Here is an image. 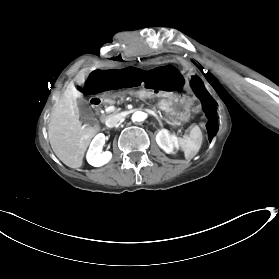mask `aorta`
<instances>
[{
	"label": "aorta",
	"mask_w": 279,
	"mask_h": 279,
	"mask_svg": "<svg viewBox=\"0 0 279 279\" xmlns=\"http://www.w3.org/2000/svg\"><path fill=\"white\" fill-rule=\"evenodd\" d=\"M146 118V114L142 111H137L132 115L133 122H141L144 121Z\"/></svg>",
	"instance_id": "aorta-1"
}]
</instances>
